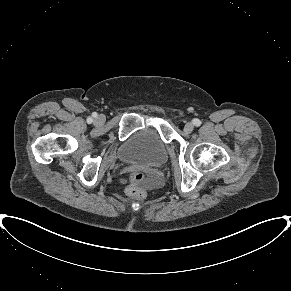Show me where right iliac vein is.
Returning <instances> with one entry per match:
<instances>
[{"label":"right iliac vein","instance_id":"obj_1","mask_svg":"<svg viewBox=\"0 0 291 291\" xmlns=\"http://www.w3.org/2000/svg\"><path fill=\"white\" fill-rule=\"evenodd\" d=\"M95 122L96 124L98 125H101L104 123V117L103 116H98L96 119H95Z\"/></svg>","mask_w":291,"mask_h":291}]
</instances>
